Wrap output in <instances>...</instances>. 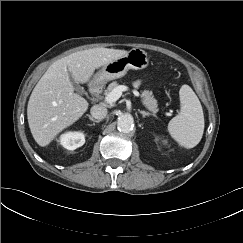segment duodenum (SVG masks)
Here are the masks:
<instances>
[{
    "instance_id": "1",
    "label": "duodenum",
    "mask_w": 243,
    "mask_h": 243,
    "mask_svg": "<svg viewBox=\"0 0 243 243\" xmlns=\"http://www.w3.org/2000/svg\"><path fill=\"white\" fill-rule=\"evenodd\" d=\"M89 90H90V93L92 95H96L99 92V88L97 86H95V85H91L90 88H89Z\"/></svg>"
}]
</instances>
